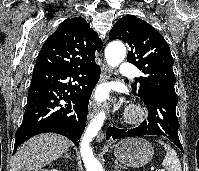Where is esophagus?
I'll return each mask as SVG.
<instances>
[{
  "mask_svg": "<svg viewBox=\"0 0 199 171\" xmlns=\"http://www.w3.org/2000/svg\"><path fill=\"white\" fill-rule=\"evenodd\" d=\"M111 77V71L109 67L106 64H103L101 67V76H100V82H105ZM99 110V105L91 99L89 102V116L93 117ZM104 140V133L100 132L97 135L96 141L101 143Z\"/></svg>",
  "mask_w": 199,
  "mask_h": 171,
  "instance_id": "1",
  "label": "esophagus"
}]
</instances>
